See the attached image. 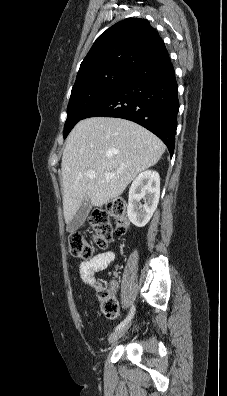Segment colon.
I'll return each mask as SVG.
<instances>
[{
	"mask_svg": "<svg viewBox=\"0 0 227 396\" xmlns=\"http://www.w3.org/2000/svg\"><path fill=\"white\" fill-rule=\"evenodd\" d=\"M113 220L116 222L115 226ZM90 223L93 230L94 246L80 233H72L69 236V251L76 258L90 259L94 252V247L105 249L111 242L114 234L122 236L127 232L129 222L125 215L124 201L116 198L106 205L95 209L90 217ZM95 290L102 312L107 317H116L118 305L111 290L99 282L95 284Z\"/></svg>",
	"mask_w": 227,
	"mask_h": 396,
	"instance_id": "colon-1",
	"label": "colon"
}]
</instances>
